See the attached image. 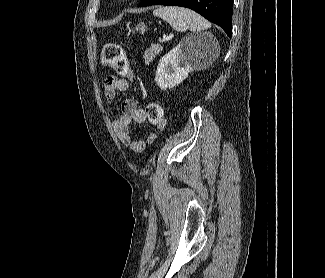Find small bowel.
Listing matches in <instances>:
<instances>
[{
  "instance_id": "c3829d8e",
  "label": "small bowel",
  "mask_w": 325,
  "mask_h": 278,
  "mask_svg": "<svg viewBox=\"0 0 325 278\" xmlns=\"http://www.w3.org/2000/svg\"><path fill=\"white\" fill-rule=\"evenodd\" d=\"M129 88L128 80L116 76H110L104 84L105 97L107 102L111 104L118 93H124ZM146 120L145 112L139 108L136 101L126 98L122 101L120 112L115 118L113 125L120 136L124 146L130 147L135 152H142L146 145H152L155 142L153 134L147 136L146 139H133L130 132L132 122L143 123Z\"/></svg>"
}]
</instances>
